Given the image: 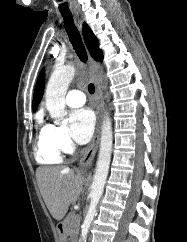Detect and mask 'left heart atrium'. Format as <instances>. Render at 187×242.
I'll return each mask as SVG.
<instances>
[{
	"instance_id": "39dd6f15",
	"label": "left heart atrium",
	"mask_w": 187,
	"mask_h": 242,
	"mask_svg": "<svg viewBox=\"0 0 187 242\" xmlns=\"http://www.w3.org/2000/svg\"><path fill=\"white\" fill-rule=\"evenodd\" d=\"M69 132L78 143L88 142L94 132L95 115L88 108L75 109L71 112Z\"/></svg>"
}]
</instances>
